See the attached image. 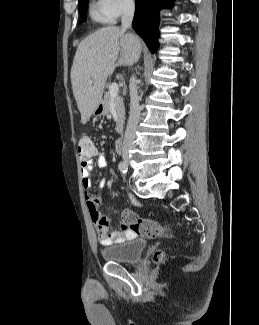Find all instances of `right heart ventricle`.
I'll list each match as a JSON object with an SVG mask.
<instances>
[{"instance_id":"1","label":"right heart ventricle","mask_w":259,"mask_h":325,"mask_svg":"<svg viewBox=\"0 0 259 325\" xmlns=\"http://www.w3.org/2000/svg\"><path fill=\"white\" fill-rule=\"evenodd\" d=\"M89 14L92 20L99 23H110L112 20L104 14L101 9L100 2H93L89 8Z\"/></svg>"}]
</instances>
